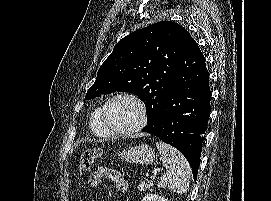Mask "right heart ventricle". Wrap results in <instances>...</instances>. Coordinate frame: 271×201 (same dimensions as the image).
<instances>
[{
    "mask_svg": "<svg viewBox=\"0 0 271 201\" xmlns=\"http://www.w3.org/2000/svg\"><path fill=\"white\" fill-rule=\"evenodd\" d=\"M89 126L91 132L97 137H109L112 134L105 128L101 119V106H98L91 113Z\"/></svg>",
    "mask_w": 271,
    "mask_h": 201,
    "instance_id": "e07e8e85",
    "label": "right heart ventricle"
}]
</instances>
